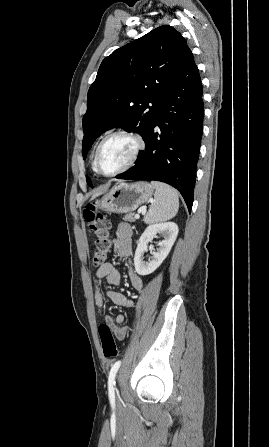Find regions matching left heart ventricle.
I'll return each instance as SVG.
<instances>
[{
	"label": "left heart ventricle",
	"mask_w": 269,
	"mask_h": 447,
	"mask_svg": "<svg viewBox=\"0 0 269 447\" xmlns=\"http://www.w3.org/2000/svg\"><path fill=\"white\" fill-rule=\"evenodd\" d=\"M136 148V141L128 135L111 137L103 146L100 155V167L111 172L123 167L130 160Z\"/></svg>",
	"instance_id": "obj_1"
}]
</instances>
